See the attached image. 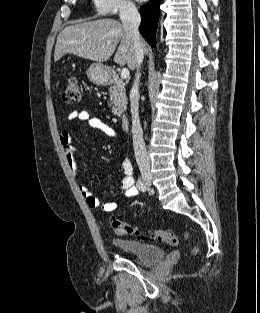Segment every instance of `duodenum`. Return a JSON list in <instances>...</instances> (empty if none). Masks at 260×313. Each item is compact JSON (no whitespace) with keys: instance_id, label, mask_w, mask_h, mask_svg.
Here are the masks:
<instances>
[{"instance_id":"obj_1","label":"duodenum","mask_w":260,"mask_h":313,"mask_svg":"<svg viewBox=\"0 0 260 313\" xmlns=\"http://www.w3.org/2000/svg\"><path fill=\"white\" fill-rule=\"evenodd\" d=\"M121 124H122V127L126 130L128 129L129 127V118L128 116L124 115L121 119Z\"/></svg>"}]
</instances>
